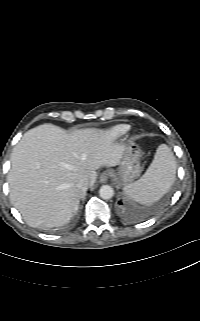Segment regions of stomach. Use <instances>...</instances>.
I'll list each match as a JSON object with an SVG mask.
<instances>
[{
    "label": "stomach",
    "mask_w": 200,
    "mask_h": 321,
    "mask_svg": "<svg viewBox=\"0 0 200 321\" xmlns=\"http://www.w3.org/2000/svg\"><path fill=\"white\" fill-rule=\"evenodd\" d=\"M141 156L142 151L135 143H129L124 147V154L119 167L113 171L115 180L119 185H127L140 176L142 172Z\"/></svg>",
    "instance_id": "stomach-1"
}]
</instances>
